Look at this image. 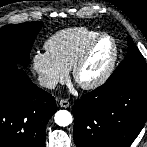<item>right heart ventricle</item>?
Instances as JSON below:
<instances>
[{
	"mask_svg": "<svg viewBox=\"0 0 147 147\" xmlns=\"http://www.w3.org/2000/svg\"><path fill=\"white\" fill-rule=\"evenodd\" d=\"M99 32L88 27H72L52 35L45 42L46 51L68 70L87 45Z\"/></svg>",
	"mask_w": 147,
	"mask_h": 147,
	"instance_id": "e07e8e85",
	"label": "right heart ventricle"
}]
</instances>
